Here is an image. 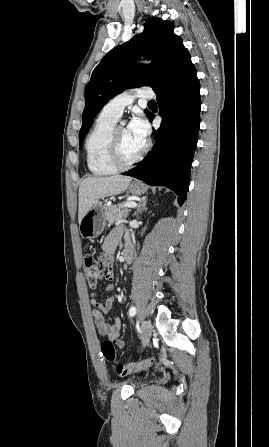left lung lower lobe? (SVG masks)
<instances>
[{
	"label": "left lung lower lobe",
	"mask_w": 269,
	"mask_h": 447,
	"mask_svg": "<svg viewBox=\"0 0 269 447\" xmlns=\"http://www.w3.org/2000/svg\"><path fill=\"white\" fill-rule=\"evenodd\" d=\"M161 128L154 130L155 144L137 167L123 173L149 185L173 190L182 205L189 187L190 167L200 127V84L187 50L168 81L156 92ZM150 121L154 118L149 113Z\"/></svg>",
	"instance_id": "left-lung-lower-lobe-1"
}]
</instances>
